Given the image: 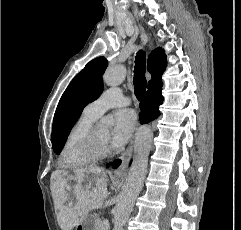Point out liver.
<instances>
[{"label": "liver", "instance_id": "6515ba94", "mask_svg": "<svg viewBox=\"0 0 241 230\" xmlns=\"http://www.w3.org/2000/svg\"><path fill=\"white\" fill-rule=\"evenodd\" d=\"M91 174L94 181H91ZM71 181L74 184L70 185ZM107 187V175L100 167L76 169L72 174L62 170L53 172L51 193L59 227L72 230L82 223L91 210L101 208L108 196ZM71 195L74 201L69 202Z\"/></svg>", "mask_w": 241, "mask_h": 230}]
</instances>
